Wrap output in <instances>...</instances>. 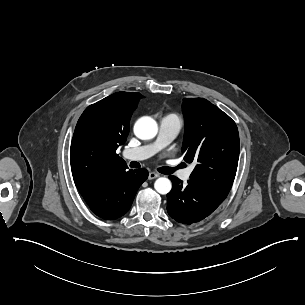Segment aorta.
<instances>
[{"label": "aorta", "mask_w": 305, "mask_h": 305, "mask_svg": "<svg viewBox=\"0 0 305 305\" xmlns=\"http://www.w3.org/2000/svg\"><path fill=\"white\" fill-rule=\"evenodd\" d=\"M158 125L151 117H141L134 125V134L141 140H149L156 136ZM154 188L159 194H168L172 184L168 178H158L154 183Z\"/></svg>", "instance_id": "762f6f07"}]
</instances>
